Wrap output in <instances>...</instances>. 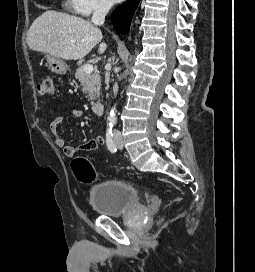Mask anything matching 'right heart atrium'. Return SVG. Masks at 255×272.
Instances as JSON below:
<instances>
[{"label": "right heart atrium", "instance_id": "right-heart-atrium-1", "mask_svg": "<svg viewBox=\"0 0 255 272\" xmlns=\"http://www.w3.org/2000/svg\"><path fill=\"white\" fill-rule=\"evenodd\" d=\"M65 8L77 15L89 16L110 8V0H66Z\"/></svg>", "mask_w": 255, "mask_h": 272}]
</instances>
